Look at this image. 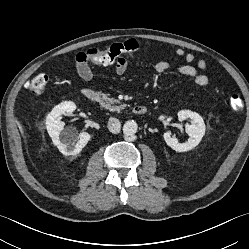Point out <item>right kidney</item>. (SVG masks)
I'll list each match as a JSON object with an SVG mask.
<instances>
[{
	"mask_svg": "<svg viewBox=\"0 0 249 249\" xmlns=\"http://www.w3.org/2000/svg\"><path fill=\"white\" fill-rule=\"evenodd\" d=\"M76 109L75 103L62 102L53 108L46 117V128L53 144L65 156H74L81 152L91 136L87 132H81L75 144L76 135L72 130L63 131L64 123L61 121L63 114L70 115Z\"/></svg>",
	"mask_w": 249,
	"mask_h": 249,
	"instance_id": "ca27d5eb",
	"label": "right kidney"
}]
</instances>
